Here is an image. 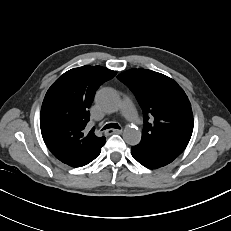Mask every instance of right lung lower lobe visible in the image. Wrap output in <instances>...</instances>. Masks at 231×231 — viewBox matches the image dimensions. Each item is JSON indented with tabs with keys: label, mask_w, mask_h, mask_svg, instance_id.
Wrapping results in <instances>:
<instances>
[{
	"label": "right lung lower lobe",
	"mask_w": 231,
	"mask_h": 231,
	"mask_svg": "<svg viewBox=\"0 0 231 231\" xmlns=\"http://www.w3.org/2000/svg\"><path fill=\"white\" fill-rule=\"evenodd\" d=\"M99 154H100V153H99ZM99 154H98V155H99ZM98 155H97V156H98ZM97 156H96V157H97ZM96 157H95V158H96ZM95 158H94V159H95ZM94 159H93V160H94ZM91 161H92V160H91ZM91 161H90V162H91ZM90 162H89V163H90ZM87 164H88V163H87Z\"/></svg>",
	"instance_id": "98d812e1"
}]
</instances>
